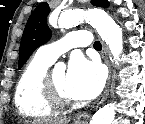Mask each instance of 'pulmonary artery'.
<instances>
[{"mask_svg":"<svg viewBox=\"0 0 145 124\" xmlns=\"http://www.w3.org/2000/svg\"><path fill=\"white\" fill-rule=\"evenodd\" d=\"M91 44L90 36L86 30L73 31L62 39L38 49L37 55L50 62H54L61 54L72 48L88 47Z\"/></svg>","mask_w":145,"mask_h":124,"instance_id":"obj_1","label":"pulmonary artery"}]
</instances>
